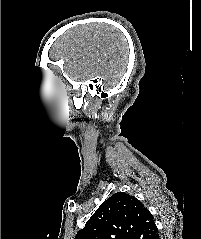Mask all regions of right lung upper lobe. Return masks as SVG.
<instances>
[{
  "instance_id": "obj_1",
  "label": "right lung upper lobe",
  "mask_w": 201,
  "mask_h": 239,
  "mask_svg": "<svg viewBox=\"0 0 201 239\" xmlns=\"http://www.w3.org/2000/svg\"><path fill=\"white\" fill-rule=\"evenodd\" d=\"M152 214L133 196L117 192L105 200L75 239H156Z\"/></svg>"
}]
</instances>
